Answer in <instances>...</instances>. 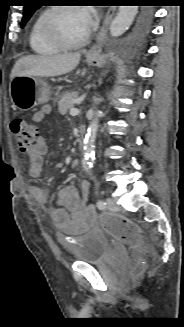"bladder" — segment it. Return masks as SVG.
<instances>
[{
  "mask_svg": "<svg viewBox=\"0 0 184 327\" xmlns=\"http://www.w3.org/2000/svg\"><path fill=\"white\" fill-rule=\"evenodd\" d=\"M66 250L77 262L100 264L101 259L110 252L111 245L102 231L92 229L78 236L74 243L68 244Z\"/></svg>",
  "mask_w": 184,
  "mask_h": 327,
  "instance_id": "31cf9c89",
  "label": "bladder"
}]
</instances>
